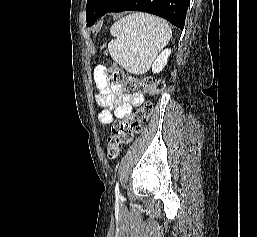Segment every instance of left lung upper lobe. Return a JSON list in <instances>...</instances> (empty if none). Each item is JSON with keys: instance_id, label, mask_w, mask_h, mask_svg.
Returning a JSON list of instances; mask_svg holds the SVG:
<instances>
[{"instance_id": "obj_1", "label": "left lung upper lobe", "mask_w": 257, "mask_h": 237, "mask_svg": "<svg viewBox=\"0 0 257 237\" xmlns=\"http://www.w3.org/2000/svg\"><path fill=\"white\" fill-rule=\"evenodd\" d=\"M107 1L108 0H87V23H89L99 13Z\"/></svg>"}]
</instances>
